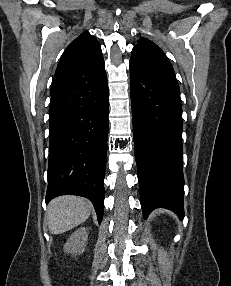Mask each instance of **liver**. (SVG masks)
<instances>
[{
    "label": "liver",
    "mask_w": 231,
    "mask_h": 286,
    "mask_svg": "<svg viewBox=\"0 0 231 286\" xmlns=\"http://www.w3.org/2000/svg\"><path fill=\"white\" fill-rule=\"evenodd\" d=\"M92 203L78 196H60L53 199L47 209V224L50 233L61 234L86 221Z\"/></svg>",
    "instance_id": "1"
}]
</instances>
